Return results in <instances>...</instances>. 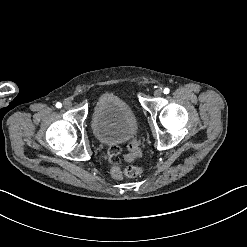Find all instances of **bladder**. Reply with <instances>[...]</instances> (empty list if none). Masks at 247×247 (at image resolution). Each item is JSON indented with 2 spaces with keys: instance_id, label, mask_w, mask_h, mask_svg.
<instances>
[{
  "instance_id": "31cf9c89",
  "label": "bladder",
  "mask_w": 247,
  "mask_h": 247,
  "mask_svg": "<svg viewBox=\"0 0 247 247\" xmlns=\"http://www.w3.org/2000/svg\"><path fill=\"white\" fill-rule=\"evenodd\" d=\"M90 123L100 143L123 144L137 135L136 115L120 97L111 93L102 94L97 98Z\"/></svg>"
}]
</instances>
